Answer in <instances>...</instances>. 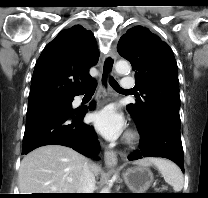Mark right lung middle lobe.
<instances>
[{
	"mask_svg": "<svg viewBox=\"0 0 208 198\" xmlns=\"http://www.w3.org/2000/svg\"><path fill=\"white\" fill-rule=\"evenodd\" d=\"M70 104H71V99H64V100L46 102V103H43V104H40V105H70ZM37 106H39V105H37ZM28 109H30V108H28Z\"/></svg>",
	"mask_w": 208,
	"mask_h": 198,
	"instance_id": "dd1d6c3e",
	"label": "right lung middle lobe"
}]
</instances>
